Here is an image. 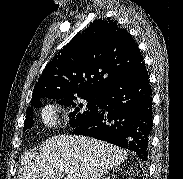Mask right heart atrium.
Instances as JSON below:
<instances>
[{
	"mask_svg": "<svg viewBox=\"0 0 183 179\" xmlns=\"http://www.w3.org/2000/svg\"><path fill=\"white\" fill-rule=\"evenodd\" d=\"M44 118L46 122L50 124H54L56 122V114L55 111L51 108H48L44 111Z\"/></svg>",
	"mask_w": 183,
	"mask_h": 179,
	"instance_id": "1",
	"label": "right heart atrium"
}]
</instances>
